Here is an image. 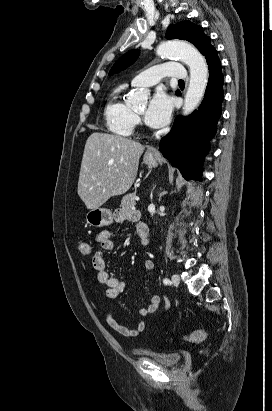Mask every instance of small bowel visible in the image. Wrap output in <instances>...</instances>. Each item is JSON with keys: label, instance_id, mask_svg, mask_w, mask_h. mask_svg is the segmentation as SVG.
<instances>
[{"label": "small bowel", "instance_id": "c3829d8e", "mask_svg": "<svg viewBox=\"0 0 272 411\" xmlns=\"http://www.w3.org/2000/svg\"><path fill=\"white\" fill-rule=\"evenodd\" d=\"M138 211L132 209H120L115 214V220L120 223L135 222L139 219ZM96 242L106 251L114 249L115 244L111 238L109 230L100 231L96 235ZM92 264L96 270L97 281L105 286V295L108 298L118 297L124 290L125 283L116 275L110 273L107 269V264L101 253H95L92 257ZM143 267L146 271H152L154 268L153 261L147 259L143 262ZM165 304V311L171 308V304L165 295H153L149 298V303L146 306H141L136 309V314L139 317H145L158 310L161 303ZM105 321L107 325L118 334L125 337H135L146 329V324L143 321H138L134 328L130 329L120 324L113 316L111 311L105 313Z\"/></svg>", "mask_w": 272, "mask_h": 411}]
</instances>
